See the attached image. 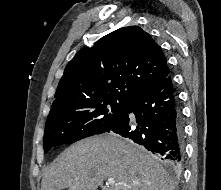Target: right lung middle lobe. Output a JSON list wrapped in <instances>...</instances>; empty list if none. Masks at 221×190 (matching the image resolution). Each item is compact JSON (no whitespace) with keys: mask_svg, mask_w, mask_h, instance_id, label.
<instances>
[{"mask_svg":"<svg viewBox=\"0 0 221 190\" xmlns=\"http://www.w3.org/2000/svg\"><path fill=\"white\" fill-rule=\"evenodd\" d=\"M126 100L102 98L50 111L43 139L45 153L57 145L105 133L122 118Z\"/></svg>","mask_w":221,"mask_h":190,"instance_id":"dd1d6c3e","label":"right lung middle lobe"}]
</instances>
